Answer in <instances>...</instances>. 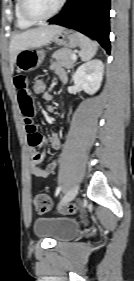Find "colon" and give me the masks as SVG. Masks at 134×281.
Instances as JSON below:
<instances>
[{
	"label": "colon",
	"instance_id": "colon-1",
	"mask_svg": "<svg viewBox=\"0 0 134 281\" xmlns=\"http://www.w3.org/2000/svg\"><path fill=\"white\" fill-rule=\"evenodd\" d=\"M32 91L35 94L43 95L46 93V82L43 78H35L32 83ZM33 204L35 209L40 213L48 212L52 207V201L50 197L46 194H36L33 198ZM76 211V208L74 206H68L65 208V213H74Z\"/></svg>",
	"mask_w": 134,
	"mask_h": 281
}]
</instances>
